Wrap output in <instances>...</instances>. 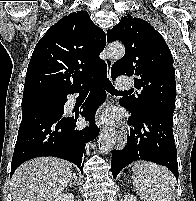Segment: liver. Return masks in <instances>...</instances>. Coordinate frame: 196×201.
<instances>
[{
	"mask_svg": "<svg viewBox=\"0 0 196 201\" xmlns=\"http://www.w3.org/2000/svg\"><path fill=\"white\" fill-rule=\"evenodd\" d=\"M69 162L39 157L19 166L12 176L13 201H52L73 180Z\"/></svg>",
	"mask_w": 196,
	"mask_h": 201,
	"instance_id": "6515ba94",
	"label": "liver"
}]
</instances>
